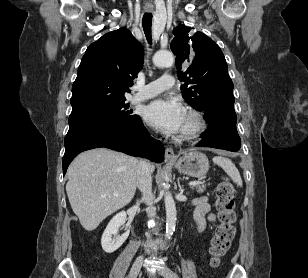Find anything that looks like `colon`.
<instances>
[{"label": "colon", "mask_w": 308, "mask_h": 278, "mask_svg": "<svg viewBox=\"0 0 308 278\" xmlns=\"http://www.w3.org/2000/svg\"><path fill=\"white\" fill-rule=\"evenodd\" d=\"M235 191L228 179H223L216 187V206L219 224L215 228L210 244V262L216 267L229 249L235 236Z\"/></svg>", "instance_id": "5ec220e1"}]
</instances>
